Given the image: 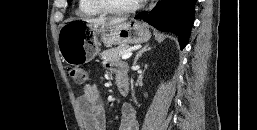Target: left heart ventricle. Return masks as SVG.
<instances>
[{
    "mask_svg": "<svg viewBox=\"0 0 257 130\" xmlns=\"http://www.w3.org/2000/svg\"><path fill=\"white\" fill-rule=\"evenodd\" d=\"M107 3L114 7L126 8L135 4L138 0H106Z\"/></svg>",
    "mask_w": 257,
    "mask_h": 130,
    "instance_id": "1",
    "label": "left heart ventricle"
}]
</instances>
